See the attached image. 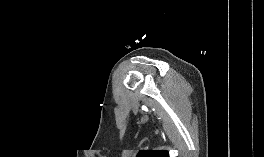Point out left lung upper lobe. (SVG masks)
<instances>
[{
	"label": "left lung upper lobe",
	"mask_w": 264,
	"mask_h": 157,
	"mask_svg": "<svg viewBox=\"0 0 264 157\" xmlns=\"http://www.w3.org/2000/svg\"><path fill=\"white\" fill-rule=\"evenodd\" d=\"M137 157H169V154L162 150H142Z\"/></svg>",
	"instance_id": "1"
}]
</instances>
